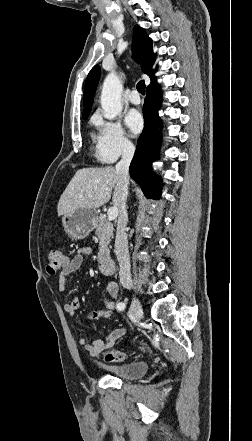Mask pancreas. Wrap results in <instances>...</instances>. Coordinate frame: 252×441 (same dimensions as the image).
<instances>
[{
    "label": "pancreas",
    "mask_w": 252,
    "mask_h": 441,
    "mask_svg": "<svg viewBox=\"0 0 252 441\" xmlns=\"http://www.w3.org/2000/svg\"><path fill=\"white\" fill-rule=\"evenodd\" d=\"M95 229V234L99 237L98 261L102 262L110 256L108 245L113 236V224L106 219L105 215L101 214L97 218Z\"/></svg>",
    "instance_id": "pancreas-1"
}]
</instances>
